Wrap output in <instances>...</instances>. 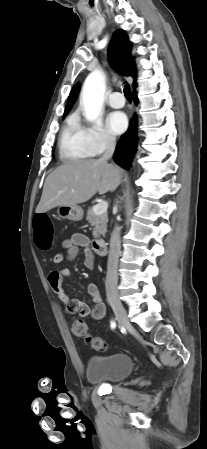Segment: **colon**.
Wrapping results in <instances>:
<instances>
[{
  "instance_id": "colon-1",
  "label": "colon",
  "mask_w": 207,
  "mask_h": 449,
  "mask_svg": "<svg viewBox=\"0 0 207 449\" xmlns=\"http://www.w3.org/2000/svg\"><path fill=\"white\" fill-rule=\"evenodd\" d=\"M34 240L40 250L47 251L52 246L53 226L51 220L45 214H38L35 217ZM71 330L75 336L86 339L94 350L103 351L106 349L104 340L101 337L90 335L88 327L82 319H72Z\"/></svg>"
}]
</instances>
